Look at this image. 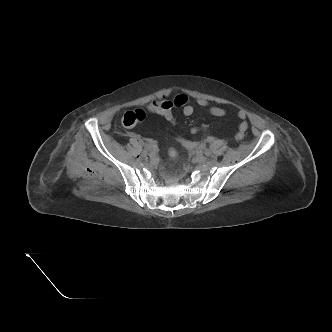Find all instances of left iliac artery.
Here are the masks:
<instances>
[{
	"label": "left iliac artery",
	"instance_id": "1",
	"mask_svg": "<svg viewBox=\"0 0 332 332\" xmlns=\"http://www.w3.org/2000/svg\"><path fill=\"white\" fill-rule=\"evenodd\" d=\"M199 153H204L206 156H211V152L209 150H205L204 152L200 151Z\"/></svg>",
	"mask_w": 332,
	"mask_h": 332
}]
</instances>
